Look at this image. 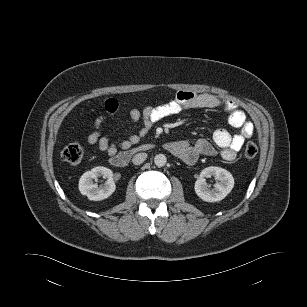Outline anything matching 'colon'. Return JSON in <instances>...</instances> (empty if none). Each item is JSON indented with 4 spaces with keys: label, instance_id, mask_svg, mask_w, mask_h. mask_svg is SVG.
Listing matches in <instances>:
<instances>
[{
    "label": "colon",
    "instance_id": "1",
    "mask_svg": "<svg viewBox=\"0 0 307 307\" xmlns=\"http://www.w3.org/2000/svg\"><path fill=\"white\" fill-rule=\"evenodd\" d=\"M258 153V147L254 142H248L244 149L247 158H254ZM83 157V149L77 143H71L65 146L61 151V158L69 164H78Z\"/></svg>",
    "mask_w": 307,
    "mask_h": 307
}]
</instances>
